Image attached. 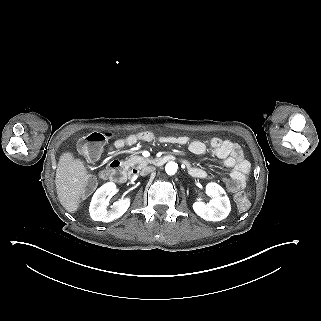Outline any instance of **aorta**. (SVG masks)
Listing matches in <instances>:
<instances>
[{"label": "aorta", "mask_w": 321, "mask_h": 321, "mask_svg": "<svg viewBox=\"0 0 321 321\" xmlns=\"http://www.w3.org/2000/svg\"><path fill=\"white\" fill-rule=\"evenodd\" d=\"M178 165L175 162H168L165 166V171L168 175H174L177 172Z\"/></svg>", "instance_id": "762f6f07"}]
</instances>
